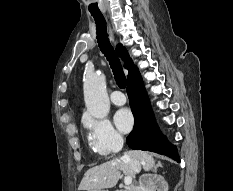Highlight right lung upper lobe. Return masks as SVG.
<instances>
[{
  "instance_id": "1",
  "label": "right lung upper lobe",
  "mask_w": 233,
  "mask_h": 191,
  "mask_svg": "<svg viewBox=\"0 0 233 191\" xmlns=\"http://www.w3.org/2000/svg\"><path fill=\"white\" fill-rule=\"evenodd\" d=\"M116 50H117L118 55L124 61H126L125 64H124V67L128 69L129 75H130L131 72L134 70L135 66L132 64V61L129 60V55H128L127 50L122 45H118L117 48H116Z\"/></svg>"
}]
</instances>
